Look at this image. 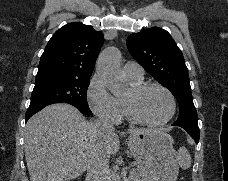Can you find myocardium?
Listing matches in <instances>:
<instances>
[{"label": "myocardium", "mask_w": 228, "mask_h": 181, "mask_svg": "<svg viewBox=\"0 0 228 181\" xmlns=\"http://www.w3.org/2000/svg\"><path fill=\"white\" fill-rule=\"evenodd\" d=\"M148 88L158 89L168 99V104H169L168 112L165 117H163L162 119L157 120V121H150V120L143 118L140 115V113L138 112L137 107H136V101H137L138 96ZM126 107H127V111H128L130 118L134 122H136L138 124H142V125H147V126H159L170 120V118L172 117V115L174 113L175 103H174V99H173V96L171 95V93L169 91H167L164 87L159 85L158 83L142 82V83L136 84L130 88L129 93L126 97Z\"/></svg>", "instance_id": "f54148a6"}]
</instances>
